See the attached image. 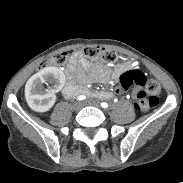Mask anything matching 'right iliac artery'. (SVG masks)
Returning <instances> with one entry per match:
<instances>
[{"instance_id": "right-iliac-artery-1", "label": "right iliac artery", "mask_w": 183, "mask_h": 183, "mask_svg": "<svg viewBox=\"0 0 183 183\" xmlns=\"http://www.w3.org/2000/svg\"><path fill=\"white\" fill-rule=\"evenodd\" d=\"M77 99H78V100H84V99H86V97L83 96V95H81V96H78Z\"/></svg>"}]
</instances>
